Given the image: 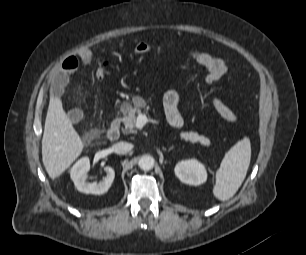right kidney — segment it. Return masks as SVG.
<instances>
[{"label": "right kidney", "mask_w": 306, "mask_h": 255, "mask_svg": "<svg viewBox=\"0 0 306 255\" xmlns=\"http://www.w3.org/2000/svg\"><path fill=\"white\" fill-rule=\"evenodd\" d=\"M90 170V160L83 157L78 160L71 168L70 175L76 189L82 193L101 195L108 191L115 177L112 167H106V176L100 182H89L88 172Z\"/></svg>", "instance_id": "right-kidney-1"}]
</instances>
